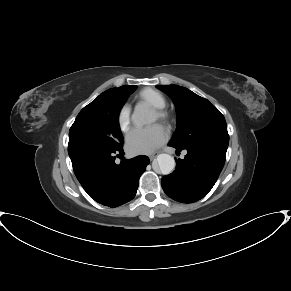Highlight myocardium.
Returning <instances> with one entry per match:
<instances>
[{
    "mask_svg": "<svg viewBox=\"0 0 291 291\" xmlns=\"http://www.w3.org/2000/svg\"><path fill=\"white\" fill-rule=\"evenodd\" d=\"M153 111L157 116V120L161 121L162 123H168L169 114L165 110L154 108Z\"/></svg>",
    "mask_w": 291,
    "mask_h": 291,
    "instance_id": "f54148a6",
    "label": "myocardium"
}]
</instances>
